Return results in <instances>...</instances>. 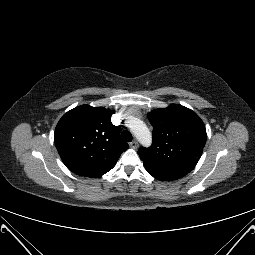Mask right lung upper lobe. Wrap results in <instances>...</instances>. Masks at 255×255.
<instances>
[{"instance_id":"cb5924a9","label":"right lung upper lobe","mask_w":255,"mask_h":255,"mask_svg":"<svg viewBox=\"0 0 255 255\" xmlns=\"http://www.w3.org/2000/svg\"><path fill=\"white\" fill-rule=\"evenodd\" d=\"M120 127L111 122V111L82 105L58 122L54 141L64 164L75 174L98 178L111 170L128 144L120 137Z\"/></svg>"}]
</instances>
